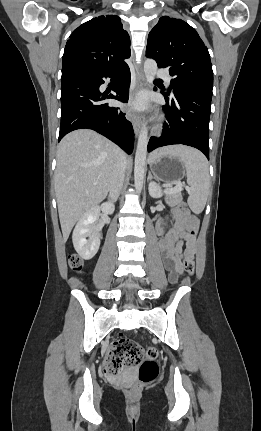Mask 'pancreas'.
<instances>
[{
	"label": "pancreas",
	"instance_id": "obj_1",
	"mask_svg": "<svg viewBox=\"0 0 261 431\" xmlns=\"http://www.w3.org/2000/svg\"><path fill=\"white\" fill-rule=\"evenodd\" d=\"M182 194L180 191L174 193H166V201L170 206H175L182 202Z\"/></svg>",
	"mask_w": 261,
	"mask_h": 431
}]
</instances>
